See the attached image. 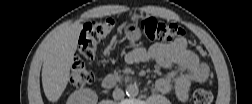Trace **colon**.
<instances>
[{
	"label": "colon",
	"mask_w": 252,
	"mask_h": 104,
	"mask_svg": "<svg viewBox=\"0 0 252 104\" xmlns=\"http://www.w3.org/2000/svg\"><path fill=\"white\" fill-rule=\"evenodd\" d=\"M113 22L110 19H101L88 23L79 37V51L83 58L91 61L95 57L97 43L105 39L112 31ZM143 36L148 41L170 42L185 34L183 28L173 22H166L154 17H149L141 22ZM70 83L75 87H82L94 81L93 73L88 70L80 57L73 61L70 72ZM196 104H209L212 93L199 88L194 92Z\"/></svg>",
	"instance_id": "colon-1"
}]
</instances>
